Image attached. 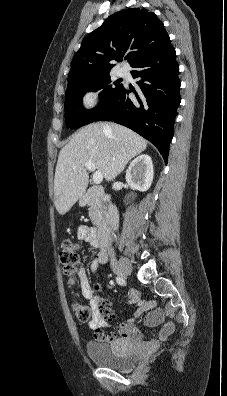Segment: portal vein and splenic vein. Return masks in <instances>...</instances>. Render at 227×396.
Instances as JSON below:
<instances>
[{"label":"portal vein and splenic vein","mask_w":227,"mask_h":396,"mask_svg":"<svg viewBox=\"0 0 227 396\" xmlns=\"http://www.w3.org/2000/svg\"><path fill=\"white\" fill-rule=\"evenodd\" d=\"M85 168L89 171H95V165L92 162H86ZM103 180V175L100 171H95L93 174V182L95 184H100Z\"/></svg>","instance_id":"portal-vein-and-splenic-vein-1"}]
</instances>
